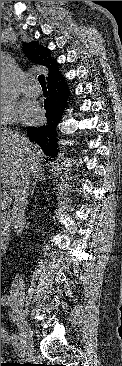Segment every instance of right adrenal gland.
<instances>
[{"mask_svg": "<svg viewBox=\"0 0 122 366\" xmlns=\"http://www.w3.org/2000/svg\"><path fill=\"white\" fill-rule=\"evenodd\" d=\"M43 177V173H41V175H37V176H33V181H32V185H31V197L33 196L34 194V189H35V186H36V183L41 180Z\"/></svg>", "mask_w": 122, "mask_h": 366, "instance_id": "2a0ac1e0", "label": "right adrenal gland"}]
</instances>
